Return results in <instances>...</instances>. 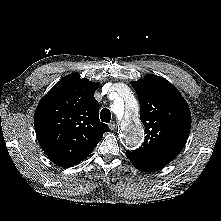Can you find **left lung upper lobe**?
<instances>
[{
    "label": "left lung upper lobe",
    "instance_id": "left-lung-upper-lobe-1",
    "mask_svg": "<svg viewBox=\"0 0 221 221\" xmlns=\"http://www.w3.org/2000/svg\"><path fill=\"white\" fill-rule=\"evenodd\" d=\"M131 85L140 102V119L145 126L143 145L129 154L162 166L183 149L191 127L188 104L166 79L149 74Z\"/></svg>",
    "mask_w": 221,
    "mask_h": 221
}]
</instances>
